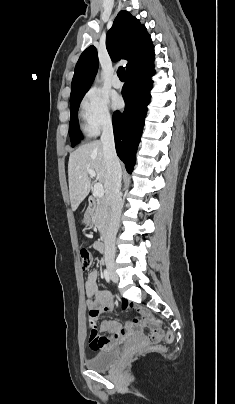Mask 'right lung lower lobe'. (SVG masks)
I'll use <instances>...</instances> for the list:
<instances>
[{
    "instance_id": "1",
    "label": "right lung lower lobe",
    "mask_w": 235,
    "mask_h": 404,
    "mask_svg": "<svg viewBox=\"0 0 235 404\" xmlns=\"http://www.w3.org/2000/svg\"><path fill=\"white\" fill-rule=\"evenodd\" d=\"M150 61L126 74L122 94L126 104L123 112L113 114V130L117 155L131 173L136 161V151L140 142L147 105L152 88L151 76L154 64Z\"/></svg>"
}]
</instances>
